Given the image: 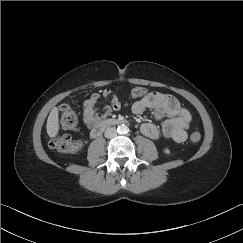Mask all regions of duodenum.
Wrapping results in <instances>:
<instances>
[{
  "instance_id": "duodenum-1",
  "label": "duodenum",
  "mask_w": 243,
  "mask_h": 243,
  "mask_svg": "<svg viewBox=\"0 0 243 243\" xmlns=\"http://www.w3.org/2000/svg\"><path fill=\"white\" fill-rule=\"evenodd\" d=\"M125 123L124 120L120 119H105L101 121L99 124H97L91 131L90 135L93 139H97L101 136V134L109 127L120 125Z\"/></svg>"
}]
</instances>
